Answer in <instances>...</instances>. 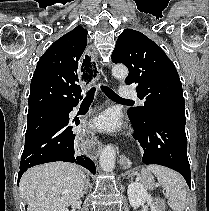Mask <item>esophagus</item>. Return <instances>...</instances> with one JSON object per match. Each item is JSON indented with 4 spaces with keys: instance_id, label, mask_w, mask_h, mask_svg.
Instances as JSON below:
<instances>
[{
    "instance_id": "34e87169",
    "label": "esophagus",
    "mask_w": 209,
    "mask_h": 211,
    "mask_svg": "<svg viewBox=\"0 0 209 211\" xmlns=\"http://www.w3.org/2000/svg\"><path fill=\"white\" fill-rule=\"evenodd\" d=\"M96 52H87V56L81 57V63L78 64L80 82H95L97 75ZM82 133H76L75 145L77 149H86L87 156L93 159L96 156L97 149H103V144H94L93 133L91 128H82ZM120 164H127V159L123 154L119 155Z\"/></svg>"
}]
</instances>
